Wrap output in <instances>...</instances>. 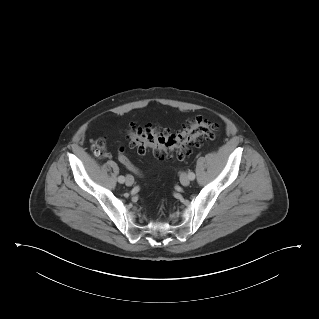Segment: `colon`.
I'll return each instance as SVG.
<instances>
[{"instance_id":"5ec220e1","label":"colon","mask_w":319,"mask_h":319,"mask_svg":"<svg viewBox=\"0 0 319 319\" xmlns=\"http://www.w3.org/2000/svg\"><path fill=\"white\" fill-rule=\"evenodd\" d=\"M217 131L215 123L199 116L187 121L178 131L140 124H131L127 128L130 145L140 153L151 149L158 160L184 159L190 146H200L205 141L213 140ZM93 152L98 157H104L106 155L104 142L101 140L95 142ZM119 161L136 175H141L123 149L120 151Z\"/></svg>"}]
</instances>
